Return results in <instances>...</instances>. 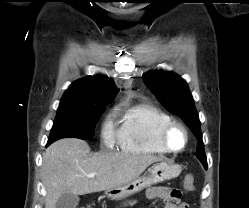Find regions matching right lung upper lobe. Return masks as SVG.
Listing matches in <instances>:
<instances>
[{
    "mask_svg": "<svg viewBox=\"0 0 249 208\" xmlns=\"http://www.w3.org/2000/svg\"><path fill=\"white\" fill-rule=\"evenodd\" d=\"M118 89L108 77L89 76L73 82L64 93L60 106H104L111 102Z\"/></svg>",
    "mask_w": 249,
    "mask_h": 208,
    "instance_id": "right-lung-upper-lobe-1",
    "label": "right lung upper lobe"
}]
</instances>
